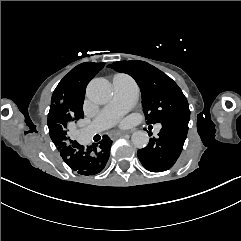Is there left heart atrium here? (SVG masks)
<instances>
[{"label": "left heart atrium", "instance_id": "39dd6f15", "mask_svg": "<svg viewBox=\"0 0 241 241\" xmlns=\"http://www.w3.org/2000/svg\"><path fill=\"white\" fill-rule=\"evenodd\" d=\"M121 123H122L123 125H126V124L128 123V120H123V121H121Z\"/></svg>", "mask_w": 241, "mask_h": 241}]
</instances>
